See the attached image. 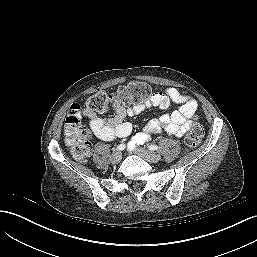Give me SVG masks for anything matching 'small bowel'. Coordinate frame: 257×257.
Masks as SVG:
<instances>
[{"instance_id":"1","label":"small bowel","mask_w":257,"mask_h":257,"mask_svg":"<svg viewBox=\"0 0 257 257\" xmlns=\"http://www.w3.org/2000/svg\"><path fill=\"white\" fill-rule=\"evenodd\" d=\"M171 103L178 105V109L149 121L144 132L138 133L129 142L128 146L133 148L137 144L147 141L153 134L165 133L175 137L183 136L193 122L192 118L197 110V102L176 88L170 87L163 93L153 94L149 100L142 104L131 107L116 105L115 114L112 117H102L90 111H85L84 115L89 121L91 131L97 138L112 141L130 135L132 126L125 121L127 116L139 114L151 106L167 108Z\"/></svg>"}]
</instances>
